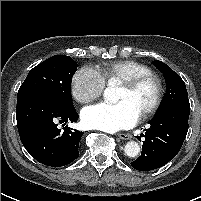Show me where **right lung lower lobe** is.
I'll return each instance as SVG.
<instances>
[{
	"label": "right lung lower lobe",
	"instance_id": "98d812e1",
	"mask_svg": "<svg viewBox=\"0 0 201 201\" xmlns=\"http://www.w3.org/2000/svg\"><path fill=\"white\" fill-rule=\"evenodd\" d=\"M17 127L21 142L38 162L52 167L71 163L79 156L81 131L64 127L58 122H76L74 107H67L50 96L36 94L17 101Z\"/></svg>",
	"mask_w": 201,
	"mask_h": 201
}]
</instances>
